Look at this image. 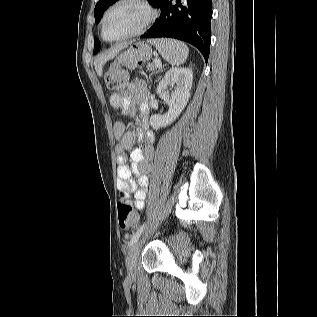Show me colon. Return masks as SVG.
Listing matches in <instances>:
<instances>
[{"label": "colon", "instance_id": "obj_1", "mask_svg": "<svg viewBox=\"0 0 317 317\" xmlns=\"http://www.w3.org/2000/svg\"><path fill=\"white\" fill-rule=\"evenodd\" d=\"M126 62L123 58L115 60L105 74V82L112 92L122 91L128 81V72L125 69ZM118 220L122 229H134L138 225V215L135 212L131 201L126 197L117 203Z\"/></svg>", "mask_w": 317, "mask_h": 317}]
</instances>
